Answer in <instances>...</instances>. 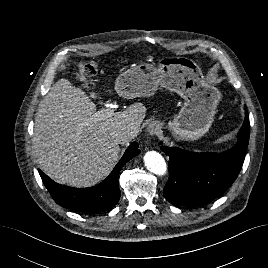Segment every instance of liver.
<instances>
[{
    "instance_id": "liver-1",
    "label": "liver",
    "mask_w": 268,
    "mask_h": 268,
    "mask_svg": "<svg viewBox=\"0 0 268 268\" xmlns=\"http://www.w3.org/2000/svg\"><path fill=\"white\" fill-rule=\"evenodd\" d=\"M96 105L80 88L58 80L41 100L35 115L33 155L54 181L90 187L105 179L119 154L112 131L139 132L146 108L135 103L107 119L96 117Z\"/></svg>"
}]
</instances>
